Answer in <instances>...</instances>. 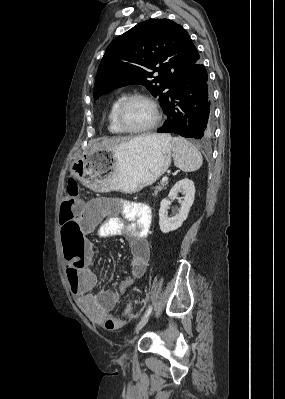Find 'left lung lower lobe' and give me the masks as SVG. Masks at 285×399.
I'll return each mask as SVG.
<instances>
[{
	"label": "left lung lower lobe",
	"instance_id": "0a47b994",
	"mask_svg": "<svg viewBox=\"0 0 285 399\" xmlns=\"http://www.w3.org/2000/svg\"><path fill=\"white\" fill-rule=\"evenodd\" d=\"M164 112L167 120L157 132L202 140L212 136V97L200 57L175 79Z\"/></svg>",
	"mask_w": 285,
	"mask_h": 399
}]
</instances>
